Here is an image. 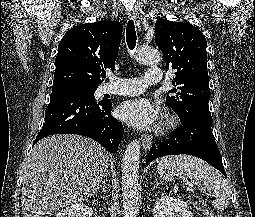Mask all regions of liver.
Returning a JSON list of instances; mask_svg holds the SVG:
<instances>
[{
  "label": "liver",
  "mask_w": 255,
  "mask_h": 217,
  "mask_svg": "<svg viewBox=\"0 0 255 217\" xmlns=\"http://www.w3.org/2000/svg\"><path fill=\"white\" fill-rule=\"evenodd\" d=\"M108 166V153L90 138L63 134L40 140L24 171L23 217H42L83 201L98 190Z\"/></svg>",
  "instance_id": "1"
}]
</instances>
